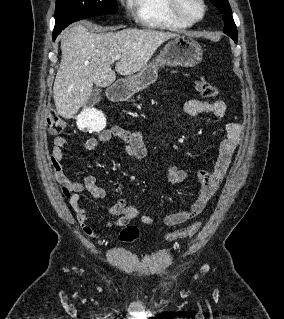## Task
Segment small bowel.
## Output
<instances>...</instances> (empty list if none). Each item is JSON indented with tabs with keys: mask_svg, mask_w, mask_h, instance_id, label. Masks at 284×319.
Listing matches in <instances>:
<instances>
[{
	"mask_svg": "<svg viewBox=\"0 0 284 319\" xmlns=\"http://www.w3.org/2000/svg\"><path fill=\"white\" fill-rule=\"evenodd\" d=\"M184 111L189 116L210 114L222 119L226 115L227 106L223 101L191 99L184 104ZM240 135L241 127L238 123L229 122L225 125L213 169L210 171L200 169L197 172L196 179L199 188L197 197L188 208L165 215L162 219L164 224L168 226L183 224L195 218L204 210L208 201L217 193L226 178ZM113 138L121 139L124 142L123 151L126 155L137 159L144 158L147 155L142 134L119 126L105 129L97 136L87 139L84 143L85 151L88 153L94 152L100 143H108ZM64 143L65 140L62 137L56 138L53 143L50 160L54 178L75 212L77 221L84 233L92 238H98L99 235L89 226V212L80 205L81 194L87 191L93 197L103 199L107 195L106 191L97 183L94 175H88L83 182H77L71 180L65 174L63 170L64 154L62 152ZM167 176L172 184H181L188 179V174L173 164L168 165ZM106 211L113 218L102 223L104 228L125 227L139 216L137 207L128 204L124 198H119L115 203L108 206ZM141 221L146 225H151L156 222V218L144 214L141 216Z\"/></svg>",
	"mask_w": 284,
	"mask_h": 319,
	"instance_id": "1",
	"label": "small bowel"
}]
</instances>
